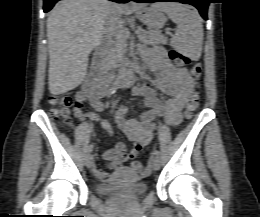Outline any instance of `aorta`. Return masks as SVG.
Segmentation results:
<instances>
[{
	"instance_id": "1",
	"label": "aorta",
	"mask_w": 260,
	"mask_h": 217,
	"mask_svg": "<svg viewBox=\"0 0 260 217\" xmlns=\"http://www.w3.org/2000/svg\"><path fill=\"white\" fill-rule=\"evenodd\" d=\"M125 66V65H124ZM124 72H125V67H123L122 69H121V76L123 77V75H124Z\"/></svg>"
}]
</instances>
